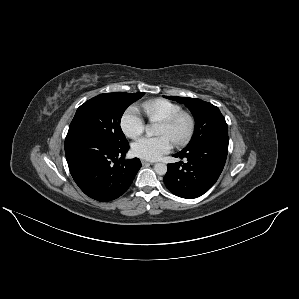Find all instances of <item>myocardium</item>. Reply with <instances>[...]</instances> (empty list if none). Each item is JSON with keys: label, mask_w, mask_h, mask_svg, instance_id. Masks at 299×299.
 I'll list each match as a JSON object with an SVG mask.
<instances>
[{"label": "myocardium", "mask_w": 299, "mask_h": 299, "mask_svg": "<svg viewBox=\"0 0 299 299\" xmlns=\"http://www.w3.org/2000/svg\"><path fill=\"white\" fill-rule=\"evenodd\" d=\"M182 119H185L187 121V129H186V131L183 135H181L179 137H176L175 139L172 140L176 145H183V144L187 143L191 139V137L193 136L194 131H195V119H194V117L186 111H180V112L172 115L171 117L161 121V124H163L166 127L172 129Z\"/></svg>", "instance_id": "myocardium-1"}]
</instances>
